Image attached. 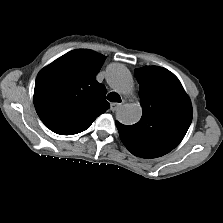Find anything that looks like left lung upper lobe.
Wrapping results in <instances>:
<instances>
[{"label":"left lung upper lobe","instance_id":"5c2ea615","mask_svg":"<svg viewBox=\"0 0 223 223\" xmlns=\"http://www.w3.org/2000/svg\"><path fill=\"white\" fill-rule=\"evenodd\" d=\"M143 108L141 120L131 126L116 121L126 148L142 158H156L173 150L192 121V106L177 77L167 69L146 66L135 70Z\"/></svg>","mask_w":223,"mask_h":223}]
</instances>
